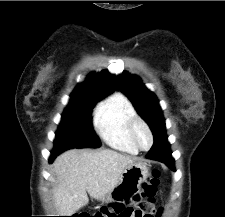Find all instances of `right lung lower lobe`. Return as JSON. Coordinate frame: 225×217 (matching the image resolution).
Returning <instances> with one entry per match:
<instances>
[{"label": "right lung lower lobe", "mask_w": 225, "mask_h": 217, "mask_svg": "<svg viewBox=\"0 0 225 217\" xmlns=\"http://www.w3.org/2000/svg\"><path fill=\"white\" fill-rule=\"evenodd\" d=\"M60 153H58V152H56V151H52L51 152V157H50V159H49V162H52L54 159H55V157L57 156V155H59Z\"/></svg>", "instance_id": "right-lung-lower-lobe-1"}]
</instances>
